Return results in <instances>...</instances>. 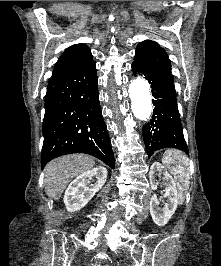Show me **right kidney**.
Masks as SVG:
<instances>
[{
    "instance_id": "right-kidney-1",
    "label": "right kidney",
    "mask_w": 221,
    "mask_h": 266,
    "mask_svg": "<svg viewBox=\"0 0 221 266\" xmlns=\"http://www.w3.org/2000/svg\"><path fill=\"white\" fill-rule=\"evenodd\" d=\"M107 169L102 166L88 170L74 179L64 194V204L70 212L80 210L99 189L107 178Z\"/></svg>"
}]
</instances>
